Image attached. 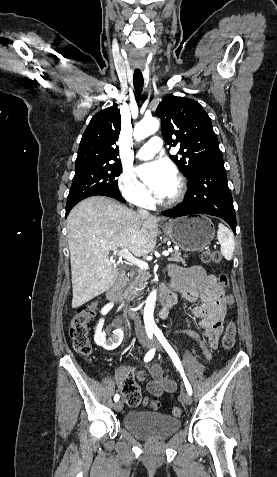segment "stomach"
<instances>
[{
  "label": "stomach",
  "instance_id": "obj_1",
  "mask_svg": "<svg viewBox=\"0 0 277 477\" xmlns=\"http://www.w3.org/2000/svg\"><path fill=\"white\" fill-rule=\"evenodd\" d=\"M166 236L184 251H202L215 236L212 221L206 216H185L163 226Z\"/></svg>",
  "mask_w": 277,
  "mask_h": 477
}]
</instances>
